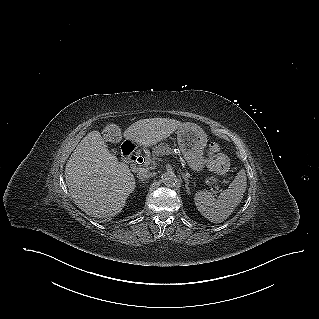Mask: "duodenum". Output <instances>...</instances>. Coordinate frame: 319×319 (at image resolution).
I'll return each mask as SVG.
<instances>
[{
    "label": "duodenum",
    "instance_id": "410a0bca",
    "mask_svg": "<svg viewBox=\"0 0 319 319\" xmlns=\"http://www.w3.org/2000/svg\"><path fill=\"white\" fill-rule=\"evenodd\" d=\"M123 161L128 165H136L140 162V158L135 154L134 146L131 143L124 142L122 144Z\"/></svg>",
    "mask_w": 319,
    "mask_h": 319
}]
</instances>
